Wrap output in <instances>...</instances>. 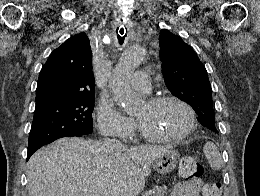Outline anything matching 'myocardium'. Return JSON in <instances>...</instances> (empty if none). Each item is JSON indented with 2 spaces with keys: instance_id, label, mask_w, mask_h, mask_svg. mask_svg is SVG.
<instances>
[{
  "instance_id": "myocardium-1",
  "label": "myocardium",
  "mask_w": 260,
  "mask_h": 196,
  "mask_svg": "<svg viewBox=\"0 0 260 196\" xmlns=\"http://www.w3.org/2000/svg\"><path fill=\"white\" fill-rule=\"evenodd\" d=\"M168 102L177 103L188 111V113L190 115L189 126L180 134L162 135V134L152 133V132L144 129L136 120V124L138 126L139 132L144 138H146L150 141H154V142H176V143H178V142H182V141H185L186 139H188L190 137V135L196 130L197 124H198L197 113H196L195 109L188 102H186L179 96L171 95V94L154 96V97L147 99L146 104L149 107H156L161 104L168 103Z\"/></svg>"
}]
</instances>
